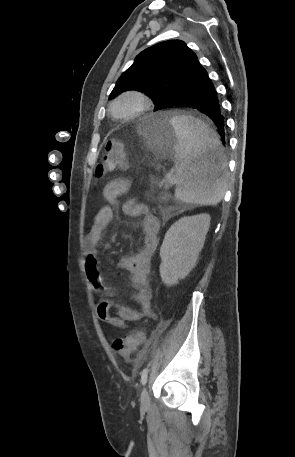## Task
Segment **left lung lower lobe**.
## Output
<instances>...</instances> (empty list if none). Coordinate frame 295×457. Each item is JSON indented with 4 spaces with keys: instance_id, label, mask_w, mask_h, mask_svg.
Masks as SVG:
<instances>
[{
    "instance_id": "obj_1",
    "label": "left lung lower lobe",
    "mask_w": 295,
    "mask_h": 457,
    "mask_svg": "<svg viewBox=\"0 0 295 457\" xmlns=\"http://www.w3.org/2000/svg\"><path fill=\"white\" fill-rule=\"evenodd\" d=\"M187 78L189 86L164 102L162 108L172 106L189 107L207 115L217 126L222 144L225 145L224 117L221 114L216 91L211 79L208 77V73L198 60ZM215 157L216 154L212 153L208 159L213 162Z\"/></svg>"
}]
</instances>
